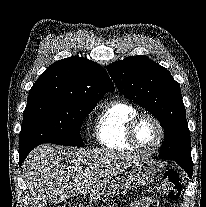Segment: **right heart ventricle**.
Listing matches in <instances>:
<instances>
[{
  "label": "right heart ventricle",
  "instance_id": "obj_1",
  "mask_svg": "<svg viewBox=\"0 0 206 207\" xmlns=\"http://www.w3.org/2000/svg\"><path fill=\"white\" fill-rule=\"evenodd\" d=\"M138 110L130 103L116 100L109 103L97 118L95 131L102 147L110 151L130 152L126 126Z\"/></svg>",
  "mask_w": 206,
  "mask_h": 207
}]
</instances>
